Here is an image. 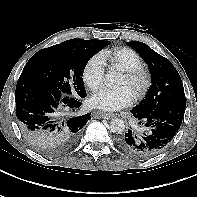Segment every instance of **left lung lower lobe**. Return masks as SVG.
Instances as JSON below:
<instances>
[{
  "label": "left lung lower lobe",
  "mask_w": 197,
  "mask_h": 197,
  "mask_svg": "<svg viewBox=\"0 0 197 197\" xmlns=\"http://www.w3.org/2000/svg\"><path fill=\"white\" fill-rule=\"evenodd\" d=\"M186 99H174L159 104L150 112L131 110L142 133L128 130L120 136L119 147L127 154L141 159L150 158L163 151L173 140L179 130Z\"/></svg>",
  "instance_id": "0a47b994"
}]
</instances>
